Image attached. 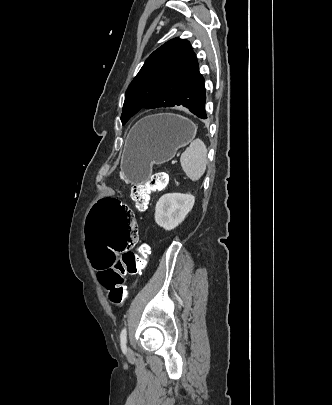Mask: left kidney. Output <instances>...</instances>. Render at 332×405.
Masks as SVG:
<instances>
[{
    "instance_id": "1",
    "label": "left kidney",
    "mask_w": 332,
    "mask_h": 405,
    "mask_svg": "<svg viewBox=\"0 0 332 405\" xmlns=\"http://www.w3.org/2000/svg\"><path fill=\"white\" fill-rule=\"evenodd\" d=\"M195 197L191 194L168 193L161 196L155 208V221L165 230L181 224L192 210Z\"/></svg>"
}]
</instances>
